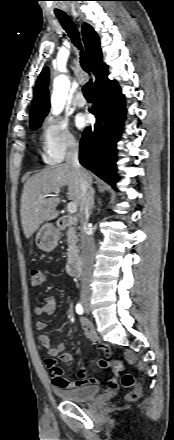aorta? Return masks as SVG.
Listing matches in <instances>:
<instances>
[{
	"label": "aorta",
	"mask_w": 174,
	"mask_h": 440,
	"mask_svg": "<svg viewBox=\"0 0 174 440\" xmlns=\"http://www.w3.org/2000/svg\"><path fill=\"white\" fill-rule=\"evenodd\" d=\"M51 105L53 114L58 115L64 108L67 94L70 88V81L66 75H59L54 79Z\"/></svg>",
	"instance_id": "aorta-1"
}]
</instances>
